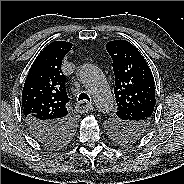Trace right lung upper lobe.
<instances>
[{
  "instance_id": "1",
  "label": "right lung upper lobe",
  "mask_w": 184,
  "mask_h": 184,
  "mask_svg": "<svg viewBox=\"0 0 184 184\" xmlns=\"http://www.w3.org/2000/svg\"><path fill=\"white\" fill-rule=\"evenodd\" d=\"M72 44L54 41L47 45L31 66L22 91V110L25 118L35 117L49 122L68 118L66 77L61 63Z\"/></svg>"
}]
</instances>
